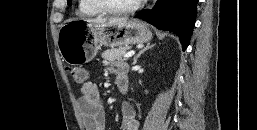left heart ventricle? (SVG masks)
<instances>
[{"label": "left heart ventricle", "mask_w": 257, "mask_h": 130, "mask_svg": "<svg viewBox=\"0 0 257 130\" xmlns=\"http://www.w3.org/2000/svg\"><path fill=\"white\" fill-rule=\"evenodd\" d=\"M103 3L115 8H125L133 5L137 0H102Z\"/></svg>", "instance_id": "obj_1"}]
</instances>
